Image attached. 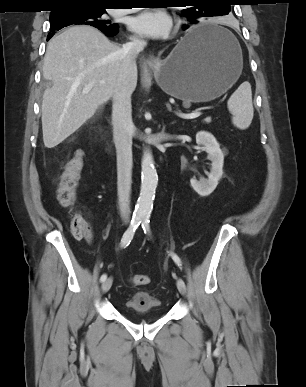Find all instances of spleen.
Listing matches in <instances>:
<instances>
[{
  "label": "spleen",
  "instance_id": "3e777b00",
  "mask_svg": "<svg viewBox=\"0 0 306 387\" xmlns=\"http://www.w3.org/2000/svg\"><path fill=\"white\" fill-rule=\"evenodd\" d=\"M227 106L232 117V123L239 129H246L252 122L254 109L252 91L249 82H243L231 95Z\"/></svg>",
  "mask_w": 306,
  "mask_h": 387
}]
</instances>
